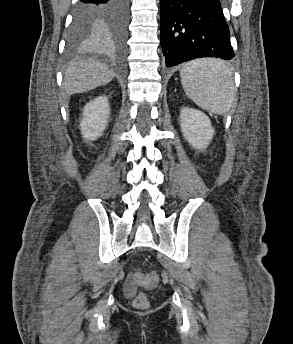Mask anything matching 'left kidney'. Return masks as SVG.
I'll return each mask as SVG.
<instances>
[{"label":"left kidney","instance_id":"obj_1","mask_svg":"<svg viewBox=\"0 0 293 344\" xmlns=\"http://www.w3.org/2000/svg\"><path fill=\"white\" fill-rule=\"evenodd\" d=\"M180 124L184 138L193 148H207L214 135V128L207 115L193 108H182Z\"/></svg>","mask_w":293,"mask_h":344}]
</instances>
